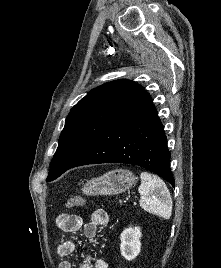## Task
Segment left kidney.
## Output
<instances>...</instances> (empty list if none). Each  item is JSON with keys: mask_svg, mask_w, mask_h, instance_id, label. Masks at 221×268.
<instances>
[{"mask_svg": "<svg viewBox=\"0 0 221 268\" xmlns=\"http://www.w3.org/2000/svg\"><path fill=\"white\" fill-rule=\"evenodd\" d=\"M142 236L139 227H129L120 235V251L121 255L128 261L138 256L141 250L140 238Z\"/></svg>", "mask_w": 221, "mask_h": 268, "instance_id": "1", "label": "left kidney"}]
</instances>
